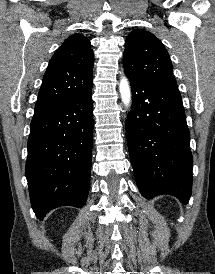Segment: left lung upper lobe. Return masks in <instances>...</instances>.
Here are the masks:
<instances>
[{
  "instance_id": "1",
  "label": "left lung upper lobe",
  "mask_w": 215,
  "mask_h": 274,
  "mask_svg": "<svg viewBox=\"0 0 215 274\" xmlns=\"http://www.w3.org/2000/svg\"><path fill=\"white\" fill-rule=\"evenodd\" d=\"M125 45V73L180 93L169 54L152 33L135 29L128 35Z\"/></svg>"
}]
</instances>
